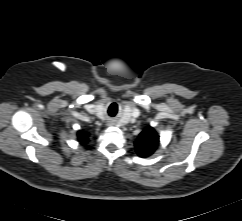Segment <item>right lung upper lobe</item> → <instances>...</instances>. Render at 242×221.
Returning <instances> with one entry per match:
<instances>
[{
    "label": "right lung upper lobe",
    "mask_w": 242,
    "mask_h": 221,
    "mask_svg": "<svg viewBox=\"0 0 242 221\" xmlns=\"http://www.w3.org/2000/svg\"><path fill=\"white\" fill-rule=\"evenodd\" d=\"M78 138H79V141L81 143H85V142H87L88 133L83 132V131H79L78 132Z\"/></svg>",
    "instance_id": "1"
}]
</instances>
